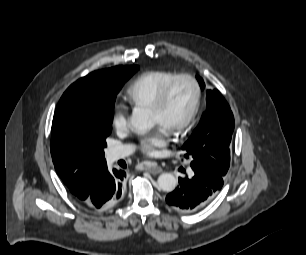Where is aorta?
<instances>
[{
  "instance_id": "aorta-1",
  "label": "aorta",
  "mask_w": 306,
  "mask_h": 255,
  "mask_svg": "<svg viewBox=\"0 0 306 255\" xmlns=\"http://www.w3.org/2000/svg\"><path fill=\"white\" fill-rule=\"evenodd\" d=\"M132 129L137 133H146L152 126L153 122L150 113L141 108H134L130 120ZM158 188L165 192H172L177 186V180L171 173H162L157 180Z\"/></svg>"
}]
</instances>
